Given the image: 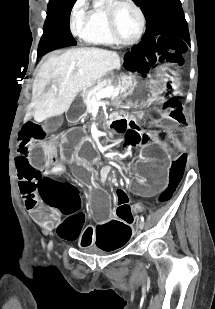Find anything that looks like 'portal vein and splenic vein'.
Returning <instances> with one entry per match:
<instances>
[{
  "mask_svg": "<svg viewBox=\"0 0 215 309\" xmlns=\"http://www.w3.org/2000/svg\"><path fill=\"white\" fill-rule=\"evenodd\" d=\"M111 94H119L118 88H113V86H107V88H102L97 92V96H111Z\"/></svg>",
  "mask_w": 215,
  "mask_h": 309,
  "instance_id": "obj_1",
  "label": "portal vein and splenic vein"
}]
</instances>
